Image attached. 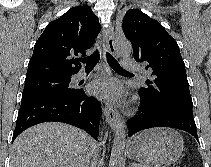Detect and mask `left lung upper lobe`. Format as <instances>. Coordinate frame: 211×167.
Here are the masks:
<instances>
[{"label":"left lung upper lobe","instance_id":"obj_1","mask_svg":"<svg viewBox=\"0 0 211 167\" xmlns=\"http://www.w3.org/2000/svg\"><path fill=\"white\" fill-rule=\"evenodd\" d=\"M123 31L133 46L136 61L147 64L152 78L140 88L153 107H178L192 112L185 64L177 42L156 20L139 9L126 12Z\"/></svg>","mask_w":211,"mask_h":167}]
</instances>
